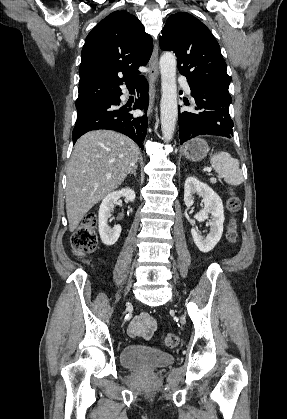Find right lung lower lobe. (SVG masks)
Instances as JSON below:
<instances>
[{"instance_id": "obj_1", "label": "right lung lower lobe", "mask_w": 287, "mask_h": 419, "mask_svg": "<svg viewBox=\"0 0 287 419\" xmlns=\"http://www.w3.org/2000/svg\"><path fill=\"white\" fill-rule=\"evenodd\" d=\"M135 88H137V91H140V96L135 100L133 107L121 105L120 96L122 93H120L77 116L72 133L73 144L80 136L88 131L108 129L127 135L143 149V141L148 126L147 116L134 117L129 111L140 109L146 113L149 104L148 83L146 79L142 77L138 83L132 87H128L132 93L135 91Z\"/></svg>"}]
</instances>
